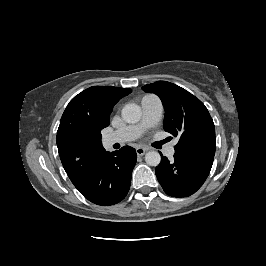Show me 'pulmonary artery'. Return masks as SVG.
<instances>
[{
	"label": "pulmonary artery",
	"instance_id": "e3ab8cb5",
	"mask_svg": "<svg viewBox=\"0 0 266 266\" xmlns=\"http://www.w3.org/2000/svg\"><path fill=\"white\" fill-rule=\"evenodd\" d=\"M142 116L137 124L128 125L110 133L106 137V144L111 146L115 143H125L137 139L147 128L153 127L161 119L162 103L156 95H146L141 100ZM176 142H172L165 148L168 157L173 156Z\"/></svg>",
	"mask_w": 266,
	"mask_h": 266
}]
</instances>
